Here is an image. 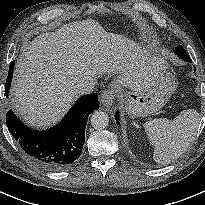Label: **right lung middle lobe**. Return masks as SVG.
<instances>
[{"label":"right lung middle lobe","mask_w":205,"mask_h":205,"mask_svg":"<svg viewBox=\"0 0 205 205\" xmlns=\"http://www.w3.org/2000/svg\"><path fill=\"white\" fill-rule=\"evenodd\" d=\"M13 67H14V66H13V64H12V62H11L9 69H12ZM8 76H9V75H8ZM11 81H12V79L9 78V77H7L6 86H5V95H6V96L8 95V91H9V88H10V85H11Z\"/></svg>","instance_id":"1"}]
</instances>
